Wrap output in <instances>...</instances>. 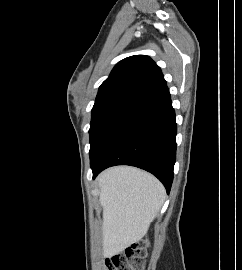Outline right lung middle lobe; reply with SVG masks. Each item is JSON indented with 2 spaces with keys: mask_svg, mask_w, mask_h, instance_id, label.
<instances>
[{
  "mask_svg": "<svg viewBox=\"0 0 242 270\" xmlns=\"http://www.w3.org/2000/svg\"><path fill=\"white\" fill-rule=\"evenodd\" d=\"M137 105L112 103L92 109L90 134V162L96 159L123 121Z\"/></svg>",
  "mask_w": 242,
  "mask_h": 270,
  "instance_id": "1",
  "label": "right lung middle lobe"
}]
</instances>
